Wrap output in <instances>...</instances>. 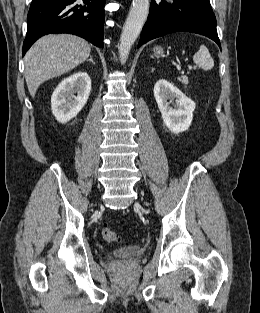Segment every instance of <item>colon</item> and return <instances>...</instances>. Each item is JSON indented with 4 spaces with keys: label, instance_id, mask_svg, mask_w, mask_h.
Wrapping results in <instances>:
<instances>
[{
    "label": "colon",
    "instance_id": "obj_1",
    "mask_svg": "<svg viewBox=\"0 0 260 313\" xmlns=\"http://www.w3.org/2000/svg\"><path fill=\"white\" fill-rule=\"evenodd\" d=\"M102 237L108 243H116L119 240L117 233L106 226L102 229Z\"/></svg>",
    "mask_w": 260,
    "mask_h": 313
}]
</instances>
